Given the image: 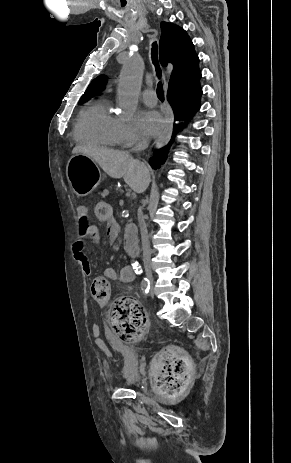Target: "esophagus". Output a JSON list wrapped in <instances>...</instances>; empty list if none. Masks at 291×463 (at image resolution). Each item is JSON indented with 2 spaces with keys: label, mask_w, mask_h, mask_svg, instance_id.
Listing matches in <instances>:
<instances>
[{
  "label": "esophagus",
  "mask_w": 291,
  "mask_h": 463,
  "mask_svg": "<svg viewBox=\"0 0 291 463\" xmlns=\"http://www.w3.org/2000/svg\"><path fill=\"white\" fill-rule=\"evenodd\" d=\"M171 134V124L168 119H166L165 129L159 135L158 139L156 140L155 146L162 147L169 139Z\"/></svg>",
  "instance_id": "esophagus-1"
}]
</instances>
